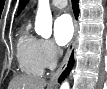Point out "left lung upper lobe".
<instances>
[{
    "label": "left lung upper lobe",
    "instance_id": "5c2ea615",
    "mask_svg": "<svg viewBox=\"0 0 107 89\" xmlns=\"http://www.w3.org/2000/svg\"><path fill=\"white\" fill-rule=\"evenodd\" d=\"M27 2L28 0H20V5H19L20 9H23L26 6Z\"/></svg>",
    "mask_w": 107,
    "mask_h": 89
}]
</instances>
